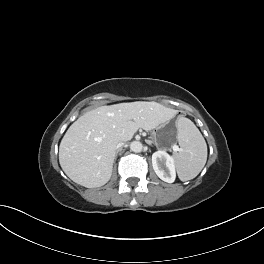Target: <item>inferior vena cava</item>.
Instances as JSON below:
<instances>
[{"label": "inferior vena cava", "instance_id": "inferior-vena-cava-1", "mask_svg": "<svg viewBox=\"0 0 264 264\" xmlns=\"http://www.w3.org/2000/svg\"><path fill=\"white\" fill-rule=\"evenodd\" d=\"M124 145V143L122 141L118 142L116 145V149L122 147Z\"/></svg>", "mask_w": 264, "mask_h": 264}]
</instances>
